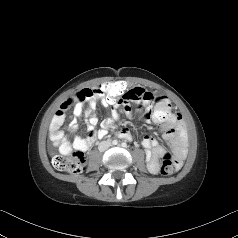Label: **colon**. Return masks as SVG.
<instances>
[{"instance_id":"colon-1","label":"colon","mask_w":238,"mask_h":238,"mask_svg":"<svg viewBox=\"0 0 238 238\" xmlns=\"http://www.w3.org/2000/svg\"><path fill=\"white\" fill-rule=\"evenodd\" d=\"M127 90L128 88L123 80H103V84L98 87L80 90L70 99V102H82L99 95L107 98V103H118L121 102ZM153 103L154 107L148 112V115L155 121L167 122L174 117L175 112L167 98L163 96L155 97ZM52 162L57 170L72 174L82 173L85 169V157L79 151L67 155H56ZM177 167V160L169 153L164 154L160 167L161 174L170 175L176 171Z\"/></svg>"}]
</instances>
